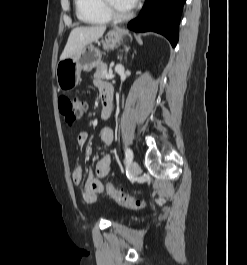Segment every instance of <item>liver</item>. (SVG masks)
<instances>
[{
	"label": "liver",
	"mask_w": 247,
	"mask_h": 265,
	"mask_svg": "<svg viewBox=\"0 0 247 265\" xmlns=\"http://www.w3.org/2000/svg\"><path fill=\"white\" fill-rule=\"evenodd\" d=\"M105 31L106 26L74 28L69 35L66 46L60 56V60L72 57L86 45L97 41L102 37Z\"/></svg>",
	"instance_id": "liver-1"
}]
</instances>
